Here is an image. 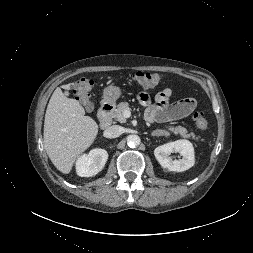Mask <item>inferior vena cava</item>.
<instances>
[{"mask_svg":"<svg viewBox=\"0 0 253 253\" xmlns=\"http://www.w3.org/2000/svg\"><path fill=\"white\" fill-rule=\"evenodd\" d=\"M123 133V128L118 125H112L105 129L104 136L107 138H116Z\"/></svg>","mask_w":253,"mask_h":253,"instance_id":"inferior-vena-cava-1","label":"inferior vena cava"}]
</instances>
